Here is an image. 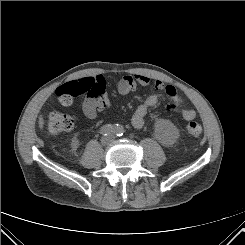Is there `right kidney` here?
<instances>
[{"label": "right kidney", "instance_id": "ca27d5eb", "mask_svg": "<svg viewBox=\"0 0 245 245\" xmlns=\"http://www.w3.org/2000/svg\"><path fill=\"white\" fill-rule=\"evenodd\" d=\"M77 145H78V141H77L76 139L73 140V141H72V146L77 147Z\"/></svg>", "mask_w": 245, "mask_h": 245}]
</instances>
